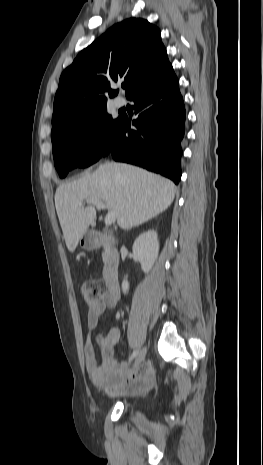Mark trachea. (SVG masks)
<instances>
[{
    "label": "trachea",
    "instance_id": "obj_1",
    "mask_svg": "<svg viewBox=\"0 0 263 465\" xmlns=\"http://www.w3.org/2000/svg\"><path fill=\"white\" fill-rule=\"evenodd\" d=\"M122 87H123V88H126V87H127V85H123Z\"/></svg>",
    "mask_w": 263,
    "mask_h": 465
}]
</instances>
